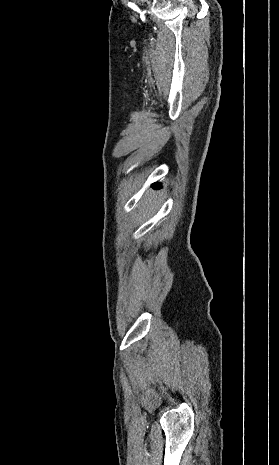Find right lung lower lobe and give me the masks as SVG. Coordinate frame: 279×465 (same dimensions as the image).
I'll use <instances>...</instances> for the list:
<instances>
[{
  "mask_svg": "<svg viewBox=\"0 0 279 465\" xmlns=\"http://www.w3.org/2000/svg\"><path fill=\"white\" fill-rule=\"evenodd\" d=\"M155 186H158V187H160V185H159V184H156Z\"/></svg>",
  "mask_w": 279,
  "mask_h": 465,
  "instance_id": "obj_1",
  "label": "right lung lower lobe"
}]
</instances>
